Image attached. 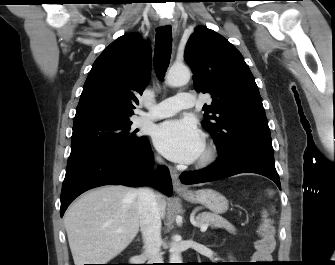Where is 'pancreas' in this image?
Masks as SVG:
<instances>
[{
  "instance_id": "cf45deb5",
  "label": "pancreas",
  "mask_w": 335,
  "mask_h": 265,
  "mask_svg": "<svg viewBox=\"0 0 335 265\" xmlns=\"http://www.w3.org/2000/svg\"><path fill=\"white\" fill-rule=\"evenodd\" d=\"M197 221L202 225L207 223L208 225L215 228H225L230 233H235V227L228 222L225 218L218 214L203 212L197 216Z\"/></svg>"
}]
</instances>
